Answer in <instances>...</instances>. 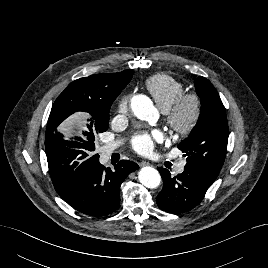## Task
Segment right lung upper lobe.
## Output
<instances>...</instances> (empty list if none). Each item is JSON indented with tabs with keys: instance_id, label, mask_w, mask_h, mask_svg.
Here are the masks:
<instances>
[{
	"instance_id": "cb5924a9",
	"label": "right lung upper lobe",
	"mask_w": 268,
	"mask_h": 268,
	"mask_svg": "<svg viewBox=\"0 0 268 268\" xmlns=\"http://www.w3.org/2000/svg\"><path fill=\"white\" fill-rule=\"evenodd\" d=\"M132 76L133 70H124L77 79L67 86L55 103L62 102L65 105L67 117L75 112H85L91 115L92 120L96 116L109 114L113 101L130 82ZM54 187L61 197L69 191L55 184Z\"/></svg>"
}]
</instances>
